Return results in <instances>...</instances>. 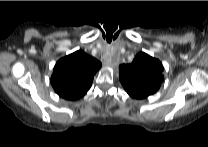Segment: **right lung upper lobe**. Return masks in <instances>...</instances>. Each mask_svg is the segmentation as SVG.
I'll use <instances>...</instances> for the list:
<instances>
[{
	"label": "right lung upper lobe",
	"instance_id": "1",
	"mask_svg": "<svg viewBox=\"0 0 208 147\" xmlns=\"http://www.w3.org/2000/svg\"><path fill=\"white\" fill-rule=\"evenodd\" d=\"M101 66L98 60L78 50L56 63L51 84L60 97L77 100L90 89L93 77Z\"/></svg>",
	"mask_w": 208,
	"mask_h": 147
}]
</instances>
